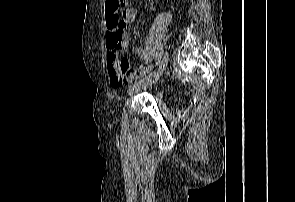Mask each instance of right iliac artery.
Returning <instances> with one entry per match:
<instances>
[{
	"instance_id": "obj_1",
	"label": "right iliac artery",
	"mask_w": 295,
	"mask_h": 202,
	"mask_svg": "<svg viewBox=\"0 0 295 202\" xmlns=\"http://www.w3.org/2000/svg\"><path fill=\"white\" fill-rule=\"evenodd\" d=\"M161 54L158 55V58H157V62H156V65H160L161 64ZM154 68V67H153ZM152 75V72L148 73V76H146L144 79H142L140 82H143L145 79L149 78L150 76ZM139 82L138 81H135L134 85L138 84Z\"/></svg>"
}]
</instances>
